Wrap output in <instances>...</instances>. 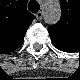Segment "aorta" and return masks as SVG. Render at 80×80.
Segmentation results:
<instances>
[{
    "mask_svg": "<svg viewBox=\"0 0 80 80\" xmlns=\"http://www.w3.org/2000/svg\"><path fill=\"white\" fill-rule=\"evenodd\" d=\"M61 18V7L59 4L46 8L44 20L48 24H56Z\"/></svg>",
    "mask_w": 80,
    "mask_h": 80,
    "instance_id": "obj_1",
    "label": "aorta"
}]
</instances>
